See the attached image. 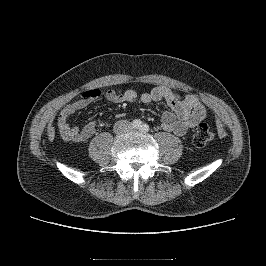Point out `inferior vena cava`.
I'll use <instances>...</instances> for the list:
<instances>
[{"instance_id": "obj_1", "label": "inferior vena cava", "mask_w": 266, "mask_h": 266, "mask_svg": "<svg viewBox=\"0 0 266 266\" xmlns=\"http://www.w3.org/2000/svg\"><path fill=\"white\" fill-rule=\"evenodd\" d=\"M116 126H117V127H119V126H126V127H128V126H129V123L126 122V121H118V122L116 123Z\"/></svg>"}]
</instances>
